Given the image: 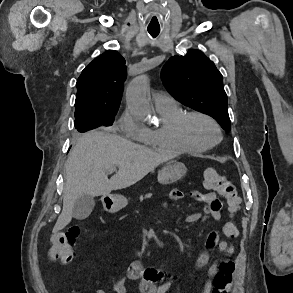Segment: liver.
<instances>
[{
	"label": "liver",
	"instance_id": "6515ba94",
	"mask_svg": "<svg viewBox=\"0 0 293 293\" xmlns=\"http://www.w3.org/2000/svg\"><path fill=\"white\" fill-rule=\"evenodd\" d=\"M173 156L155 152L118 135L92 130L83 134L65 163L63 209L54 231L72 220L73 206L82 195L106 196L132 186ZM114 167L118 172L108 179Z\"/></svg>",
	"mask_w": 293,
	"mask_h": 293
}]
</instances>
